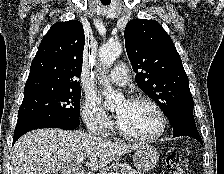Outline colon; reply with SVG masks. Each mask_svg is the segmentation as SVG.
I'll return each mask as SVG.
<instances>
[{
    "instance_id": "colon-1",
    "label": "colon",
    "mask_w": 224,
    "mask_h": 174,
    "mask_svg": "<svg viewBox=\"0 0 224 174\" xmlns=\"http://www.w3.org/2000/svg\"><path fill=\"white\" fill-rule=\"evenodd\" d=\"M166 166L169 174H184L186 163L177 155H169L166 158Z\"/></svg>"
}]
</instances>
